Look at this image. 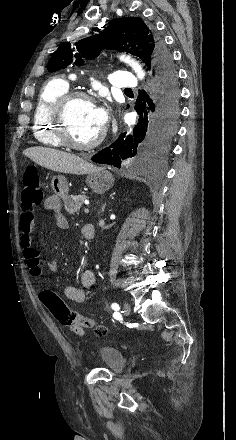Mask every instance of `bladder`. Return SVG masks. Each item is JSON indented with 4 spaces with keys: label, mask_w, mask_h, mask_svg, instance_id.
I'll return each mask as SVG.
<instances>
[{
    "label": "bladder",
    "mask_w": 236,
    "mask_h": 440,
    "mask_svg": "<svg viewBox=\"0 0 236 440\" xmlns=\"http://www.w3.org/2000/svg\"><path fill=\"white\" fill-rule=\"evenodd\" d=\"M99 361L105 369L119 371L124 365V358L120 351L111 346H103L98 352Z\"/></svg>",
    "instance_id": "1"
}]
</instances>
